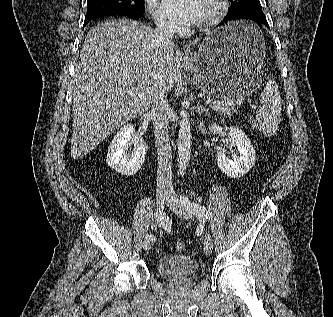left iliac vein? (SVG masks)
<instances>
[{
  "label": "left iliac vein",
  "instance_id": "obj_1",
  "mask_svg": "<svg viewBox=\"0 0 333 317\" xmlns=\"http://www.w3.org/2000/svg\"><path fill=\"white\" fill-rule=\"evenodd\" d=\"M168 207L178 216L185 219H192V213L186 208L180 200L177 198L174 192L169 193L167 200ZM204 251L207 255H211L213 251V242L209 234H205L204 238Z\"/></svg>",
  "mask_w": 333,
  "mask_h": 317
}]
</instances>
